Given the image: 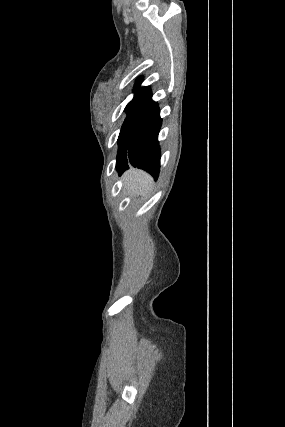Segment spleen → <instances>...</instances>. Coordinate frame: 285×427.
<instances>
[{
    "mask_svg": "<svg viewBox=\"0 0 285 427\" xmlns=\"http://www.w3.org/2000/svg\"><path fill=\"white\" fill-rule=\"evenodd\" d=\"M153 185V179L145 172L131 170L126 175L125 186L135 194L145 195Z\"/></svg>",
    "mask_w": 285,
    "mask_h": 427,
    "instance_id": "obj_1",
    "label": "spleen"
}]
</instances>
